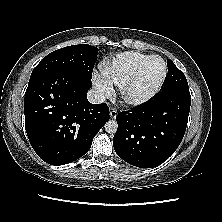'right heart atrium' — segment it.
Returning <instances> with one entry per match:
<instances>
[{"label":"right heart atrium","mask_w":222,"mask_h":222,"mask_svg":"<svg viewBox=\"0 0 222 222\" xmlns=\"http://www.w3.org/2000/svg\"><path fill=\"white\" fill-rule=\"evenodd\" d=\"M93 84L96 90L103 96H111L114 92L112 84L102 75L94 73Z\"/></svg>","instance_id":"d8ad5b80"}]
</instances>
